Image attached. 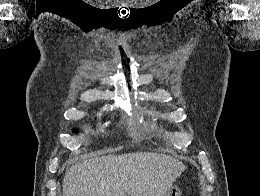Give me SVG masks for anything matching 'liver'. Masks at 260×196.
Instances as JSON below:
<instances>
[{
  "label": "liver",
  "instance_id": "1",
  "mask_svg": "<svg viewBox=\"0 0 260 196\" xmlns=\"http://www.w3.org/2000/svg\"><path fill=\"white\" fill-rule=\"evenodd\" d=\"M185 166L166 154L85 158L65 174L63 196H166Z\"/></svg>",
  "mask_w": 260,
  "mask_h": 196
}]
</instances>
